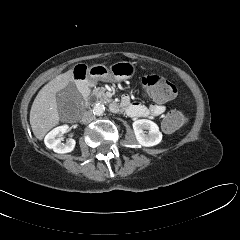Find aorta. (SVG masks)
Listing matches in <instances>:
<instances>
[{"mask_svg":"<svg viewBox=\"0 0 240 240\" xmlns=\"http://www.w3.org/2000/svg\"><path fill=\"white\" fill-rule=\"evenodd\" d=\"M104 111H105V106L101 103H97L93 107V113L97 116L102 115L104 113Z\"/></svg>","mask_w":240,"mask_h":240,"instance_id":"obj_1","label":"aorta"}]
</instances>
